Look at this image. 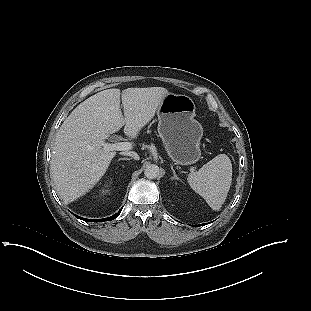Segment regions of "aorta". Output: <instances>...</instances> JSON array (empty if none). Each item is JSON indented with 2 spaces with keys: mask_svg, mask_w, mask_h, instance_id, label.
I'll return each instance as SVG.
<instances>
[{
  "mask_svg": "<svg viewBox=\"0 0 311 311\" xmlns=\"http://www.w3.org/2000/svg\"><path fill=\"white\" fill-rule=\"evenodd\" d=\"M159 174H160V169L155 164H149L144 170V175L148 179H156L159 176Z\"/></svg>",
  "mask_w": 311,
  "mask_h": 311,
  "instance_id": "aorta-1",
  "label": "aorta"
}]
</instances>
